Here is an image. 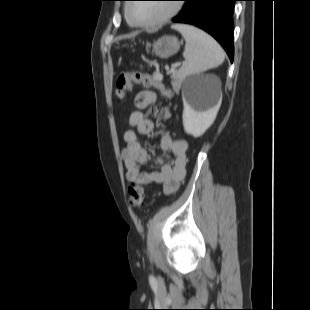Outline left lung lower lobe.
Instances as JSON below:
<instances>
[{
    "mask_svg": "<svg viewBox=\"0 0 310 310\" xmlns=\"http://www.w3.org/2000/svg\"><path fill=\"white\" fill-rule=\"evenodd\" d=\"M185 4L175 23L194 25L213 36L225 49L231 62L234 58L233 13L239 0H183Z\"/></svg>",
    "mask_w": 310,
    "mask_h": 310,
    "instance_id": "1",
    "label": "left lung lower lobe"
}]
</instances>
